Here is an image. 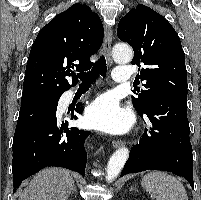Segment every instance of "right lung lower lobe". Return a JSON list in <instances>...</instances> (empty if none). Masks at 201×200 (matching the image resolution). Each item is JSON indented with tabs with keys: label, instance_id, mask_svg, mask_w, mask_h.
Instances as JSON below:
<instances>
[{
	"label": "right lung lower lobe",
	"instance_id": "obj_1",
	"mask_svg": "<svg viewBox=\"0 0 201 200\" xmlns=\"http://www.w3.org/2000/svg\"><path fill=\"white\" fill-rule=\"evenodd\" d=\"M59 98L43 99L21 105L13 138L14 189L29 176L47 166H59L85 175L87 131L57 123ZM76 111L82 113L80 103ZM71 119H77L72 115Z\"/></svg>",
	"mask_w": 201,
	"mask_h": 200
}]
</instances>
